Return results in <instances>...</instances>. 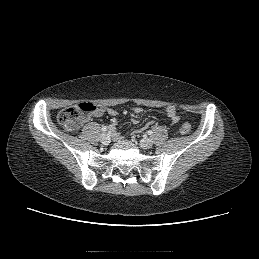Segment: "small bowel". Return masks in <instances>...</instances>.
Listing matches in <instances>:
<instances>
[{"mask_svg": "<svg viewBox=\"0 0 259 259\" xmlns=\"http://www.w3.org/2000/svg\"><path fill=\"white\" fill-rule=\"evenodd\" d=\"M131 110H132L135 114H140V113H142V111H143L142 108L139 107V106H133V107H131ZM166 113H167L168 117L170 118L171 125L174 126V125L178 124V122H179V116H178V114H177V112H176V108H175L173 105L167 106V108H166ZM103 114H107V115H109V116H111V117H116V116L119 114V111L116 110V109H114V108H103V107H100V108H98L97 111L94 113V115H95L96 117L102 116ZM151 123H152V121H149V122H148V124H151ZM110 129L115 132V131H116V126H115V124H112V125L110 126Z\"/></svg>", "mask_w": 259, "mask_h": 259, "instance_id": "obj_1", "label": "small bowel"}]
</instances>
